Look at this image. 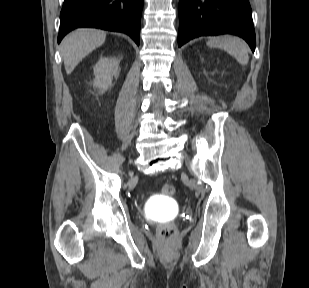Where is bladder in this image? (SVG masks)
<instances>
[{
	"instance_id": "bladder-1",
	"label": "bladder",
	"mask_w": 309,
	"mask_h": 288,
	"mask_svg": "<svg viewBox=\"0 0 309 288\" xmlns=\"http://www.w3.org/2000/svg\"><path fill=\"white\" fill-rule=\"evenodd\" d=\"M169 197V195H164L162 199L154 200L150 203L151 213L155 217L158 218L173 213L175 205L172 201L167 200Z\"/></svg>"
}]
</instances>
